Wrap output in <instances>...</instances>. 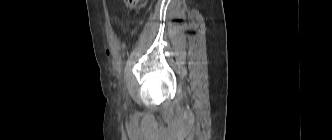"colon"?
<instances>
[{"label": "colon", "instance_id": "colon-1", "mask_svg": "<svg viewBox=\"0 0 332 140\" xmlns=\"http://www.w3.org/2000/svg\"><path fill=\"white\" fill-rule=\"evenodd\" d=\"M125 3L130 6V7H134L136 6L141 0H124Z\"/></svg>", "mask_w": 332, "mask_h": 140}]
</instances>
